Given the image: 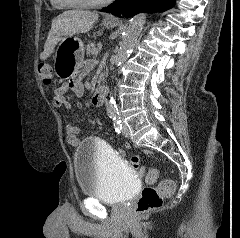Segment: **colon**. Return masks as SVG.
<instances>
[{"instance_id":"1","label":"colon","mask_w":240,"mask_h":238,"mask_svg":"<svg viewBox=\"0 0 240 238\" xmlns=\"http://www.w3.org/2000/svg\"><path fill=\"white\" fill-rule=\"evenodd\" d=\"M38 74L45 84H50L53 78V69L50 64L41 62L38 65ZM158 178V171L154 168L146 173V181L154 183ZM175 190L174 181L162 179L155 187H145L135 204L137 214H145L161 207L163 199L170 197Z\"/></svg>"}]
</instances>
